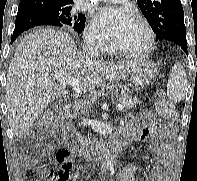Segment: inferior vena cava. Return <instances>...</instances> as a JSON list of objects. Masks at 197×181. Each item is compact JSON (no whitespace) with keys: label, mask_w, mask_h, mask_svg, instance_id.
<instances>
[{"label":"inferior vena cava","mask_w":197,"mask_h":181,"mask_svg":"<svg viewBox=\"0 0 197 181\" xmlns=\"http://www.w3.org/2000/svg\"><path fill=\"white\" fill-rule=\"evenodd\" d=\"M85 48L87 55L91 58H98L100 56L99 46L96 40V36L94 34H88L85 36ZM85 119L79 125H85Z\"/></svg>","instance_id":"602c4592"}]
</instances>
